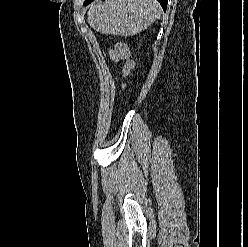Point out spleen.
<instances>
[{"mask_svg": "<svg viewBox=\"0 0 248 247\" xmlns=\"http://www.w3.org/2000/svg\"><path fill=\"white\" fill-rule=\"evenodd\" d=\"M160 12L156 0H105L90 8L87 22L100 33L127 37L147 29Z\"/></svg>", "mask_w": 248, "mask_h": 247, "instance_id": "3e777b00", "label": "spleen"}]
</instances>
